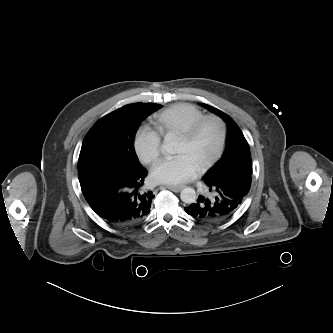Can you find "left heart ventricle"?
Returning <instances> with one entry per match:
<instances>
[{"label": "left heart ventricle", "instance_id": "b2bd125f", "mask_svg": "<svg viewBox=\"0 0 333 333\" xmlns=\"http://www.w3.org/2000/svg\"><path fill=\"white\" fill-rule=\"evenodd\" d=\"M219 138V126L209 121L203 125L193 140L185 141L178 138L175 152L187 155L198 168L214 155Z\"/></svg>", "mask_w": 333, "mask_h": 333}]
</instances>
